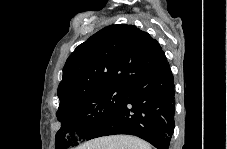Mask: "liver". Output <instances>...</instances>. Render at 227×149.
Wrapping results in <instances>:
<instances>
[{
	"instance_id": "6515ba94",
	"label": "liver",
	"mask_w": 227,
	"mask_h": 149,
	"mask_svg": "<svg viewBox=\"0 0 227 149\" xmlns=\"http://www.w3.org/2000/svg\"><path fill=\"white\" fill-rule=\"evenodd\" d=\"M78 149H151V146L134 136L112 135L88 141Z\"/></svg>"
}]
</instances>
